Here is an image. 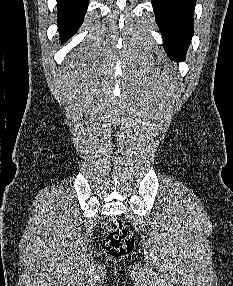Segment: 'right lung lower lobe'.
I'll return each mask as SVG.
<instances>
[{"label": "right lung lower lobe", "instance_id": "98d812e1", "mask_svg": "<svg viewBox=\"0 0 233 286\" xmlns=\"http://www.w3.org/2000/svg\"><path fill=\"white\" fill-rule=\"evenodd\" d=\"M89 0H57L58 27L62 40L70 38L84 20Z\"/></svg>", "mask_w": 233, "mask_h": 286}]
</instances>
